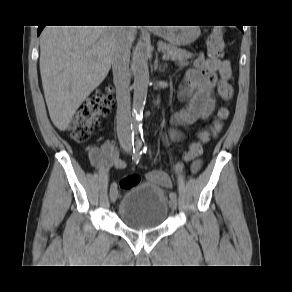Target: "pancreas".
Masks as SVG:
<instances>
[{
	"label": "pancreas",
	"mask_w": 292,
	"mask_h": 292,
	"mask_svg": "<svg viewBox=\"0 0 292 292\" xmlns=\"http://www.w3.org/2000/svg\"><path fill=\"white\" fill-rule=\"evenodd\" d=\"M159 49L164 55L168 56L172 60L183 61L193 57V54L186 51L185 49H180L174 45L164 43L162 41L158 42Z\"/></svg>",
	"instance_id": "1"
}]
</instances>
